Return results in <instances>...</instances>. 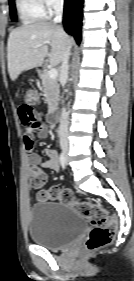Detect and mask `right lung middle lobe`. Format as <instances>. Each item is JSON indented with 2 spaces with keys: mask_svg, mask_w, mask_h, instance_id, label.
Returning a JSON list of instances; mask_svg holds the SVG:
<instances>
[{
  "mask_svg": "<svg viewBox=\"0 0 134 281\" xmlns=\"http://www.w3.org/2000/svg\"><path fill=\"white\" fill-rule=\"evenodd\" d=\"M9 5H10L11 19L12 21H16V8H15L14 0H9Z\"/></svg>",
  "mask_w": 134,
  "mask_h": 281,
  "instance_id": "obj_1",
  "label": "right lung middle lobe"
}]
</instances>
